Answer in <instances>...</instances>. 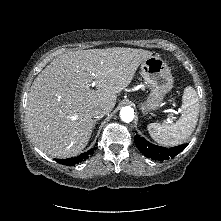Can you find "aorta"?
Here are the masks:
<instances>
[{
    "mask_svg": "<svg viewBox=\"0 0 221 221\" xmlns=\"http://www.w3.org/2000/svg\"><path fill=\"white\" fill-rule=\"evenodd\" d=\"M120 118L122 121L129 123L134 118V110L130 107H124L120 111Z\"/></svg>",
    "mask_w": 221,
    "mask_h": 221,
    "instance_id": "aorta-1",
    "label": "aorta"
}]
</instances>
